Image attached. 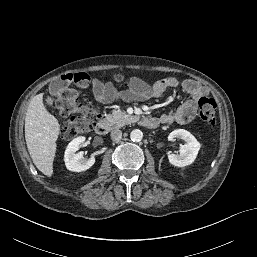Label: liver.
Returning <instances> with one entry per match:
<instances>
[{"instance_id":"obj_1","label":"liver","mask_w":257,"mask_h":257,"mask_svg":"<svg viewBox=\"0 0 257 257\" xmlns=\"http://www.w3.org/2000/svg\"><path fill=\"white\" fill-rule=\"evenodd\" d=\"M60 133L58 120L43 104V94L32 98L25 117V140L33 163L44 175L53 174L56 141Z\"/></svg>"}]
</instances>
